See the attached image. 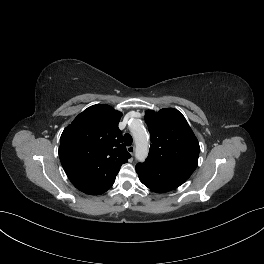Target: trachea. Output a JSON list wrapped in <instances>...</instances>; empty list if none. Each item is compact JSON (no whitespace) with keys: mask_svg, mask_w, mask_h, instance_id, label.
Segmentation results:
<instances>
[{"mask_svg":"<svg viewBox=\"0 0 264 264\" xmlns=\"http://www.w3.org/2000/svg\"><path fill=\"white\" fill-rule=\"evenodd\" d=\"M123 141H124L126 146H130L133 142L132 136L130 134L126 133L124 135Z\"/></svg>","mask_w":264,"mask_h":264,"instance_id":"trachea-1","label":"trachea"}]
</instances>
